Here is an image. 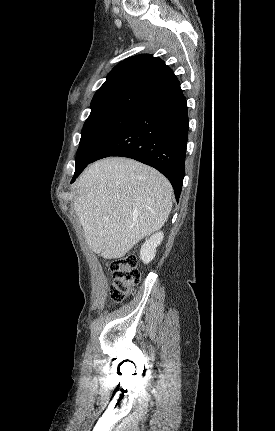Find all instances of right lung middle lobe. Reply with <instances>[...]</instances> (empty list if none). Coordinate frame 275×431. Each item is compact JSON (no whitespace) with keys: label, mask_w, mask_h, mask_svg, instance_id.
Returning a JSON list of instances; mask_svg holds the SVG:
<instances>
[{"label":"right lung middle lobe","mask_w":275,"mask_h":431,"mask_svg":"<svg viewBox=\"0 0 275 431\" xmlns=\"http://www.w3.org/2000/svg\"><path fill=\"white\" fill-rule=\"evenodd\" d=\"M136 110L113 109L90 115L84 123L76 155L75 173L84 169L94 155L132 117Z\"/></svg>","instance_id":"obj_1"}]
</instances>
